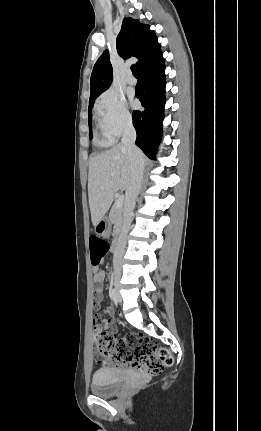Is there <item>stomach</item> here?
<instances>
[{
	"instance_id": "obj_1",
	"label": "stomach",
	"mask_w": 261,
	"mask_h": 431,
	"mask_svg": "<svg viewBox=\"0 0 261 431\" xmlns=\"http://www.w3.org/2000/svg\"><path fill=\"white\" fill-rule=\"evenodd\" d=\"M96 234L102 237H108L111 232V222L108 218H102L95 226Z\"/></svg>"
}]
</instances>
